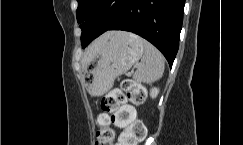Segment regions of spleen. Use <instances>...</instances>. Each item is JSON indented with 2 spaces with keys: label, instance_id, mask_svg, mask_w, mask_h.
Here are the masks:
<instances>
[{
  "label": "spleen",
  "instance_id": "3e777b00",
  "mask_svg": "<svg viewBox=\"0 0 243 145\" xmlns=\"http://www.w3.org/2000/svg\"><path fill=\"white\" fill-rule=\"evenodd\" d=\"M143 56L133 79L142 83H153L159 80L164 72V58L162 54L149 42L142 40Z\"/></svg>",
  "mask_w": 243,
  "mask_h": 145
}]
</instances>
